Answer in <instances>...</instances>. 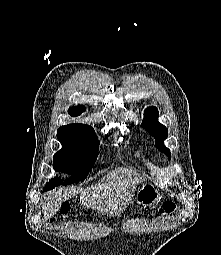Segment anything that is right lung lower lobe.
<instances>
[{
  "mask_svg": "<svg viewBox=\"0 0 221 255\" xmlns=\"http://www.w3.org/2000/svg\"><path fill=\"white\" fill-rule=\"evenodd\" d=\"M43 190H44V191H48V190H50V188H44Z\"/></svg>",
  "mask_w": 221,
  "mask_h": 255,
  "instance_id": "1",
  "label": "right lung lower lobe"
}]
</instances>
